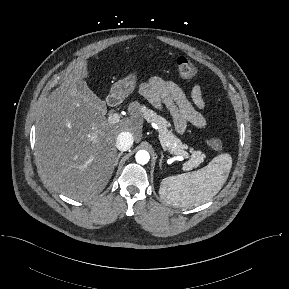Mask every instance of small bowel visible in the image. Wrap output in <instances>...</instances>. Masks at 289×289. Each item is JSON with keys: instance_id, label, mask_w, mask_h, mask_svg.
<instances>
[{"instance_id": "c3829d8e", "label": "small bowel", "mask_w": 289, "mask_h": 289, "mask_svg": "<svg viewBox=\"0 0 289 289\" xmlns=\"http://www.w3.org/2000/svg\"><path fill=\"white\" fill-rule=\"evenodd\" d=\"M141 93L156 108L165 107L169 111L178 133H184L189 125L199 129L207 127V120L199 111L205 108L200 85L191 90L192 102L175 82L160 77H152L143 84Z\"/></svg>"}]
</instances>
